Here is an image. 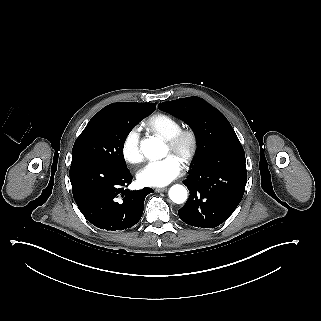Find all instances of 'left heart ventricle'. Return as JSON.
<instances>
[{"mask_svg": "<svg viewBox=\"0 0 321 321\" xmlns=\"http://www.w3.org/2000/svg\"><path fill=\"white\" fill-rule=\"evenodd\" d=\"M169 152V148L167 147V153Z\"/></svg>", "mask_w": 321, "mask_h": 321, "instance_id": "left-heart-ventricle-1", "label": "left heart ventricle"}]
</instances>
